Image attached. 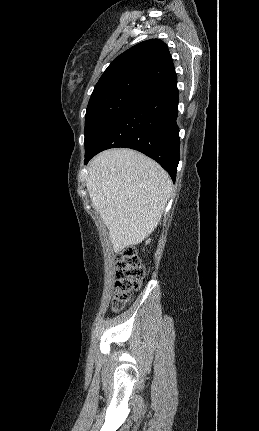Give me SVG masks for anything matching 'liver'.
I'll return each instance as SVG.
<instances>
[{"label": "liver", "mask_w": 259, "mask_h": 431, "mask_svg": "<svg viewBox=\"0 0 259 431\" xmlns=\"http://www.w3.org/2000/svg\"><path fill=\"white\" fill-rule=\"evenodd\" d=\"M92 206L109 230L115 252L137 245L158 225L171 195L168 173L131 149H110L89 163Z\"/></svg>", "instance_id": "liver-1"}]
</instances>
